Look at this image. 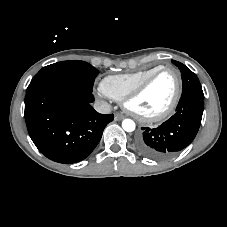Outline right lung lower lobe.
<instances>
[{"instance_id":"obj_1","label":"right lung lower lobe","mask_w":227,"mask_h":227,"mask_svg":"<svg viewBox=\"0 0 227 227\" xmlns=\"http://www.w3.org/2000/svg\"><path fill=\"white\" fill-rule=\"evenodd\" d=\"M93 101L91 91L68 81L50 79L29 85L24 115L38 150L64 164L85 159L114 118L96 112Z\"/></svg>"}]
</instances>
